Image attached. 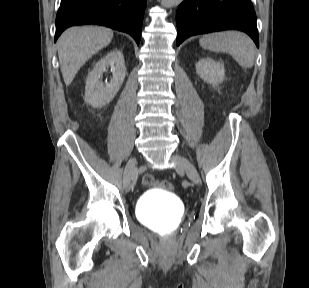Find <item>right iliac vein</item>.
Wrapping results in <instances>:
<instances>
[{
	"instance_id": "obj_1",
	"label": "right iliac vein",
	"mask_w": 309,
	"mask_h": 288,
	"mask_svg": "<svg viewBox=\"0 0 309 288\" xmlns=\"http://www.w3.org/2000/svg\"><path fill=\"white\" fill-rule=\"evenodd\" d=\"M137 171V161L136 158H131L124 170V179L131 181L135 178Z\"/></svg>"
}]
</instances>
